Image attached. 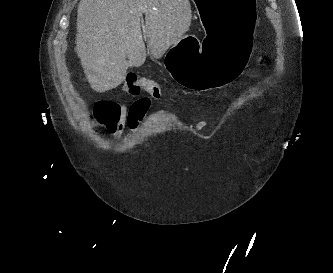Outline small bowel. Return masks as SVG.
Returning a JSON list of instances; mask_svg holds the SVG:
<instances>
[{
  "mask_svg": "<svg viewBox=\"0 0 333 273\" xmlns=\"http://www.w3.org/2000/svg\"><path fill=\"white\" fill-rule=\"evenodd\" d=\"M148 103H152V96H140V100L134 102L129 108L125 105L120 106L119 116H122V122L111 131L114 139L120 137L125 125L133 131L138 129L140 122L147 112L149 106ZM206 125L207 123L205 121H200L197 124V129L202 130Z\"/></svg>",
  "mask_w": 333,
  "mask_h": 273,
  "instance_id": "1",
  "label": "small bowel"
}]
</instances>
